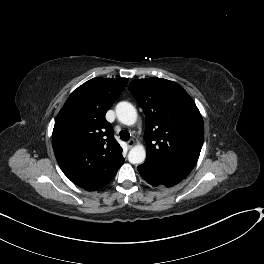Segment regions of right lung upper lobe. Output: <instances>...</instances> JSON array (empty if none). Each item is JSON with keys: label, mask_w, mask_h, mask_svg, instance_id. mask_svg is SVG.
Returning <instances> with one entry per match:
<instances>
[{"label": "right lung upper lobe", "mask_w": 264, "mask_h": 264, "mask_svg": "<svg viewBox=\"0 0 264 264\" xmlns=\"http://www.w3.org/2000/svg\"><path fill=\"white\" fill-rule=\"evenodd\" d=\"M127 78H93L68 97L53 129L52 144L64 174L77 186L97 190L108 184L124 162L105 114Z\"/></svg>", "instance_id": "obj_1"}]
</instances>
